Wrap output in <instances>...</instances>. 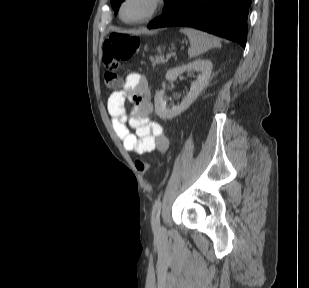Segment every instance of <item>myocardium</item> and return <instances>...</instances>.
Listing matches in <instances>:
<instances>
[{
  "mask_svg": "<svg viewBox=\"0 0 309 288\" xmlns=\"http://www.w3.org/2000/svg\"><path fill=\"white\" fill-rule=\"evenodd\" d=\"M129 2V0H123L121 2L120 8H119V16L120 19L128 25H139L146 22H149L150 20L154 19L156 16H158L160 13H162L166 6H167V0H150L151 2V8L149 12L142 18L134 21H129L125 19L124 17V9L126 4Z\"/></svg>",
  "mask_w": 309,
  "mask_h": 288,
  "instance_id": "1",
  "label": "myocardium"
}]
</instances>
